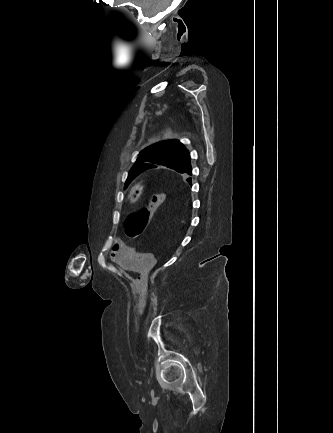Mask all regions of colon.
<instances>
[{
    "mask_svg": "<svg viewBox=\"0 0 333 433\" xmlns=\"http://www.w3.org/2000/svg\"><path fill=\"white\" fill-rule=\"evenodd\" d=\"M165 199L164 193L154 195L148 206L129 214L124 223L126 235L132 239L140 236Z\"/></svg>",
    "mask_w": 333,
    "mask_h": 433,
    "instance_id": "1",
    "label": "colon"
}]
</instances>
